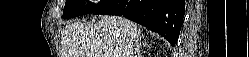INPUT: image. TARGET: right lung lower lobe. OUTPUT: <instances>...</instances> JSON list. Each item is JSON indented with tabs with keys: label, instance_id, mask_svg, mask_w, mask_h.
I'll use <instances>...</instances> for the list:
<instances>
[{
	"label": "right lung lower lobe",
	"instance_id": "1",
	"mask_svg": "<svg viewBox=\"0 0 249 57\" xmlns=\"http://www.w3.org/2000/svg\"><path fill=\"white\" fill-rule=\"evenodd\" d=\"M96 14L124 16L162 35L171 45L178 41L185 14L184 0H110Z\"/></svg>",
	"mask_w": 249,
	"mask_h": 57
}]
</instances>
